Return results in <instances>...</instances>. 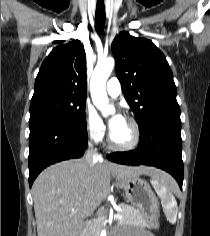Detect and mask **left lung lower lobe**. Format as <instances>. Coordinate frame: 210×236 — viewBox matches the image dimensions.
<instances>
[{
	"label": "left lung lower lobe",
	"instance_id": "1",
	"mask_svg": "<svg viewBox=\"0 0 210 236\" xmlns=\"http://www.w3.org/2000/svg\"><path fill=\"white\" fill-rule=\"evenodd\" d=\"M141 136L137 149L116 152L107 156L113 162L125 165H149L170 173L182 189L183 161L181 120L179 116H161L149 119L139 128Z\"/></svg>",
	"mask_w": 210,
	"mask_h": 236
}]
</instances>
